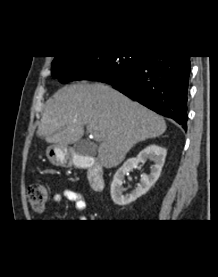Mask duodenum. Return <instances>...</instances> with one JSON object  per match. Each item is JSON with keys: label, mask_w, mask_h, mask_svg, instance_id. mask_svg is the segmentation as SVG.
<instances>
[{"label": "duodenum", "mask_w": 218, "mask_h": 277, "mask_svg": "<svg viewBox=\"0 0 218 277\" xmlns=\"http://www.w3.org/2000/svg\"><path fill=\"white\" fill-rule=\"evenodd\" d=\"M74 165L88 172V182L93 191H102L105 186L103 168L93 158L77 155L74 158Z\"/></svg>", "instance_id": "duodenum-1"}]
</instances>
